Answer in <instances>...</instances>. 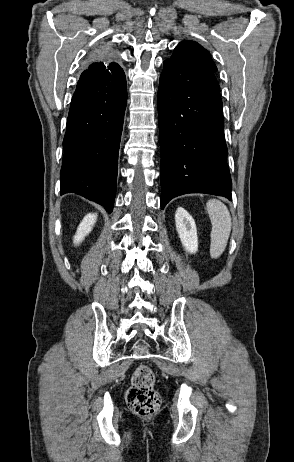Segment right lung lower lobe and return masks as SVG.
Returning <instances> with one entry per match:
<instances>
[{
	"label": "right lung lower lobe",
	"instance_id": "1",
	"mask_svg": "<svg viewBox=\"0 0 294 462\" xmlns=\"http://www.w3.org/2000/svg\"><path fill=\"white\" fill-rule=\"evenodd\" d=\"M126 101L124 73L76 87L63 140L61 194H80L112 212Z\"/></svg>",
	"mask_w": 294,
	"mask_h": 462
}]
</instances>
